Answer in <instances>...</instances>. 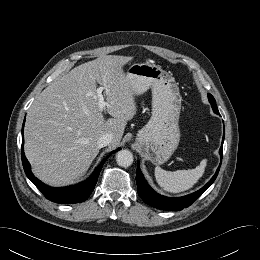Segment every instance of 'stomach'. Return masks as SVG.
I'll use <instances>...</instances> for the list:
<instances>
[{"mask_svg":"<svg viewBox=\"0 0 260 260\" xmlns=\"http://www.w3.org/2000/svg\"><path fill=\"white\" fill-rule=\"evenodd\" d=\"M134 95L152 91V115L136 141L152 163L161 165L175 152L180 141L181 96L174 77L150 63H135L127 71Z\"/></svg>","mask_w":260,"mask_h":260,"instance_id":"stomach-1","label":"stomach"}]
</instances>
